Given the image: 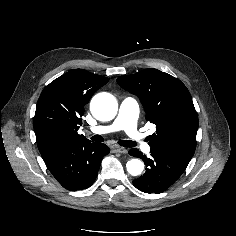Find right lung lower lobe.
Instances as JSON below:
<instances>
[{"instance_id":"98d812e1","label":"right lung lower lobe","mask_w":236,"mask_h":236,"mask_svg":"<svg viewBox=\"0 0 236 236\" xmlns=\"http://www.w3.org/2000/svg\"><path fill=\"white\" fill-rule=\"evenodd\" d=\"M109 152L107 145L86 140L73 141L41 155L54 178L64 188L76 191L93 184L101 160Z\"/></svg>"}]
</instances>
